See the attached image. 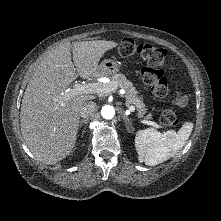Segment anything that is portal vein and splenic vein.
<instances>
[{
    "mask_svg": "<svg viewBox=\"0 0 221 221\" xmlns=\"http://www.w3.org/2000/svg\"><path fill=\"white\" fill-rule=\"evenodd\" d=\"M116 88L107 86L105 84L101 83H88V84H79L75 83L72 89H67L64 93L65 97L67 99L74 97L76 95L80 94H104V93H110L114 92ZM135 108L133 106L129 107V111H134ZM145 124L154 126L156 128H160V126L152 121H144Z\"/></svg>",
    "mask_w": 221,
    "mask_h": 221,
    "instance_id": "obj_1",
    "label": "portal vein and splenic vein"
}]
</instances>
